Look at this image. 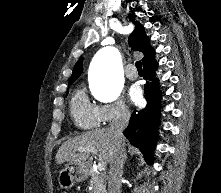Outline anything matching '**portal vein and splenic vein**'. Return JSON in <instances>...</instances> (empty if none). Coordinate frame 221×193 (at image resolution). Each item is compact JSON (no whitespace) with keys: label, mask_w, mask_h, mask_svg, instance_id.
Listing matches in <instances>:
<instances>
[{"label":"portal vein and splenic vein","mask_w":221,"mask_h":193,"mask_svg":"<svg viewBox=\"0 0 221 193\" xmlns=\"http://www.w3.org/2000/svg\"><path fill=\"white\" fill-rule=\"evenodd\" d=\"M88 151V152H90V153H92V154H97V150L95 149V148H86V149H84V148H80L79 149V151H81V152H83V151ZM98 169L100 170V171H102V170H105V163L104 162H99L98 163Z\"/></svg>","instance_id":"obj_1"}]
</instances>
